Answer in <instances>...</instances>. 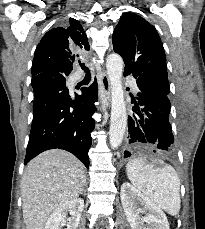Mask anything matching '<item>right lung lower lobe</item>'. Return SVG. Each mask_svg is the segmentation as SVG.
<instances>
[{
    "label": "right lung lower lobe",
    "mask_w": 205,
    "mask_h": 229,
    "mask_svg": "<svg viewBox=\"0 0 205 229\" xmlns=\"http://www.w3.org/2000/svg\"><path fill=\"white\" fill-rule=\"evenodd\" d=\"M67 75L48 70L32 77L34 90L33 121L25 165L41 152L64 149L89 167L88 151L95 122L97 81L72 100L66 87Z\"/></svg>",
    "instance_id": "98d812e1"
}]
</instances>
